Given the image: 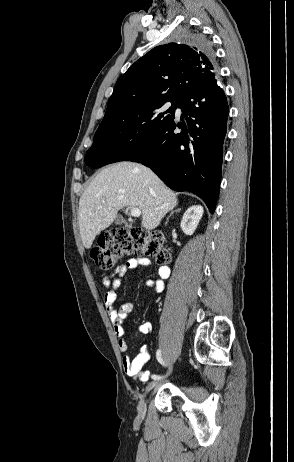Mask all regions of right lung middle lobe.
Returning a JSON list of instances; mask_svg holds the SVG:
<instances>
[{
  "mask_svg": "<svg viewBox=\"0 0 294 462\" xmlns=\"http://www.w3.org/2000/svg\"><path fill=\"white\" fill-rule=\"evenodd\" d=\"M177 40L211 51L209 40L188 28L176 32ZM180 96L148 99L124 110L104 116L85 160L101 154L105 165L123 161L133 150L174 119Z\"/></svg>",
  "mask_w": 294,
  "mask_h": 462,
  "instance_id": "obj_1",
  "label": "right lung middle lobe"
}]
</instances>
